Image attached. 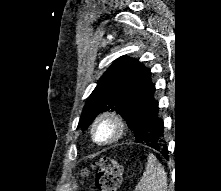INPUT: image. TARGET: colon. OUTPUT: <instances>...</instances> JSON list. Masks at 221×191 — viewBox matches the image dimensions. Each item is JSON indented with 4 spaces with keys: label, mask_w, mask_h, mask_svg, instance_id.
<instances>
[{
    "label": "colon",
    "mask_w": 221,
    "mask_h": 191,
    "mask_svg": "<svg viewBox=\"0 0 221 191\" xmlns=\"http://www.w3.org/2000/svg\"><path fill=\"white\" fill-rule=\"evenodd\" d=\"M97 166L96 190L117 191L122 180L121 163L112 157H102Z\"/></svg>",
    "instance_id": "obj_1"
}]
</instances>
